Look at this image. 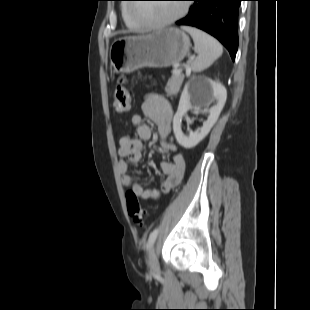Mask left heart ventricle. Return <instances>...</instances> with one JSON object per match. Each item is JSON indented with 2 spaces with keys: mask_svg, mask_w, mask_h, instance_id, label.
<instances>
[{
  "mask_svg": "<svg viewBox=\"0 0 310 310\" xmlns=\"http://www.w3.org/2000/svg\"><path fill=\"white\" fill-rule=\"evenodd\" d=\"M180 9V4L153 3L137 5L133 13L145 20L161 22L175 16Z\"/></svg>",
  "mask_w": 310,
  "mask_h": 310,
  "instance_id": "b2bd125f",
  "label": "left heart ventricle"
}]
</instances>
